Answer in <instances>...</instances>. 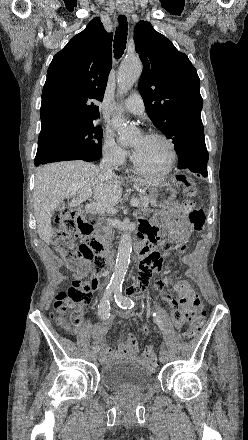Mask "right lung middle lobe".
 Segmentation results:
<instances>
[{"mask_svg":"<svg viewBox=\"0 0 248 440\" xmlns=\"http://www.w3.org/2000/svg\"><path fill=\"white\" fill-rule=\"evenodd\" d=\"M102 135L100 126L93 123L39 134L35 165L49 162L93 158L102 156Z\"/></svg>","mask_w":248,"mask_h":440,"instance_id":"1","label":"right lung middle lobe"}]
</instances>
